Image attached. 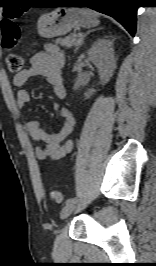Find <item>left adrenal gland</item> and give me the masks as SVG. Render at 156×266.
<instances>
[{
	"label": "left adrenal gland",
	"instance_id": "left-adrenal-gland-1",
	"mask_svg": "<svg viewBox=\"0 0 156 266\" xmlns=\"http://www.w3.org/2000/svg\"><path fill=\"white\" fill-rule=\"evenodd\" d=\"M93 31H96V30H90L88 31L87 33H85L83 36L80 37V39L77 41V44H76V49L75 51H77L79 49V47L83 44V41L85 39V37L90 34L91 32Z\"/></svg>",
	"mask_w": 156,
	"mask_h": 266
}]
</instances>
